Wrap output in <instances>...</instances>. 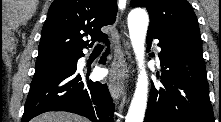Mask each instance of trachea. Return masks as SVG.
<instances>
[{
    "instance_id": "obj_1",
    "label": "trachea",
    "mask_w": 221,
    "mask_h": 122,
    "mask_svg": "<svg viewBox=\"0 0 221 122\" xmlns=\"http://www.w3.org/2000/svg\"><path fill=\"white\" fill-rule=\"evenodd\" d=\"M98 47H102V45H98Z\"/></svg>"
}]
</instances>
